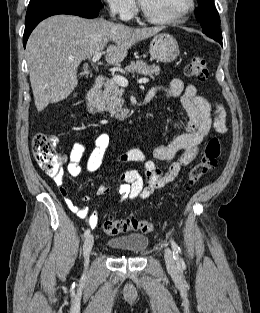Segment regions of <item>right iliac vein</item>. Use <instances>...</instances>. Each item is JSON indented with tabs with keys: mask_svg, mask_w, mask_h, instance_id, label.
<instances>
[{
	"mask_svg": "<svg viewBox=\"0 0 260 313\" xmlns=\"http://www.w3.org/2000/svg\"><path fill=\"white\" fill-rule=\"evenodd\" d=\"M94 245L93 235H88L83 245V255L85 258V269L88 268L89 255Z\"/></svg>",
	"mask_w": 260,
	"mask_h": 313,
	"instance_id": "right-iliac-vein-1",
	"label": "right iliac vein"
}]
</instances>
